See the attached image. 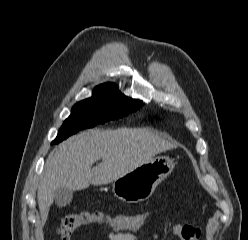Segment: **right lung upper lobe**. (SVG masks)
<instances>
[{
	"label": "right lung upper lobe",
	"mask_w": 248,
	"mask_h": 240,
	"mask_svg": "<svg viewBox=\"0 0 248 240\" xmlns=\"http://www.w3.org/2000/svg\"><path fill=\"white\" fill-rule=\"evenodd\" d=\"M117 89L116 85L113 83H106L97 86L94 90H101V91H112Z\"/></svg>",
	"instance_id": "1"
}]
</instances>
